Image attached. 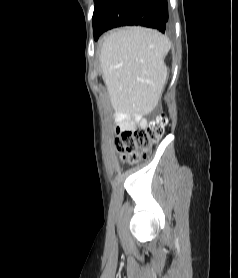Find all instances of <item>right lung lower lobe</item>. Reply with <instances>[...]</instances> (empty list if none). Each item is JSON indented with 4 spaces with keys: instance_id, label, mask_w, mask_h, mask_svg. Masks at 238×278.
<instances>
[{
    "instance_id": "obj_1",
    "label": "right lung lower lobe",
    "mask_w": 238,
    "mask_h": 278,
    "mask_svg": "<svg viewBox=\"0 0 238 278\" xmlns=\"http://www.w3.org/2000/svg\"><path fill=\"white\" fill-rule=\"evenodd\" d=\"M167 21V0H97L93 13L94 39L108 29L124 25H141L164 33Z\"/></svg>"
}]
</instances>
